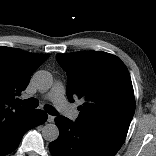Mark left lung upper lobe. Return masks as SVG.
<instances>
[{"mask_svg":"<svg viewBox=\"0 0 156 156\" xmlns=\"http://www.w3.org/2000/svg\"><path fill=\"white\" fill-rule=\"evenodd\" d=\"M68 76L67 97L85 99L76 123L109 131L125 140L135 112L131 78L115 55L101 51L57 54Z\"/></svg>","mask_w":156,"mask_h":156,"instance_id":"obj_1","label":"left lung upper lobe"}]
</instances>
